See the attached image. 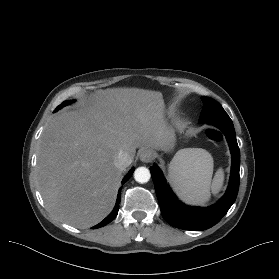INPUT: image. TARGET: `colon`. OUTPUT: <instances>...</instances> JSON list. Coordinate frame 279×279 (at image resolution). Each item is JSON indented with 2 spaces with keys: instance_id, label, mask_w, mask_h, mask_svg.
<instances>
[{
  "instance_id": "colon-1",
  "label": "colon",
  "mask_w": 279,
  "mask_h": 279,
  "mask_svg": "<svg viewBox=\"0 0 279 279\" xmlns=\"http://www.w3.org/2000/svg\"><path fill=\"white\" fill-rule=\"evenodd\" d=\"M208 135L214 141H220L222 139L221 133L216 130L209 131Z\"/></svg>"
}]
</instances>
